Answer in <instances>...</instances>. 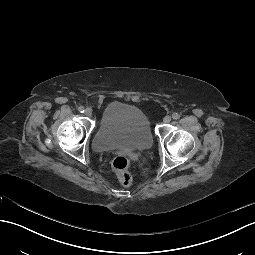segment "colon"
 <instances>
[{"instance_id":"obj_1","label":"colon","mask_w":255,"mask_h":255,"mask_svg":"<svg viewBox=\"0 0 255 255\" xmlns=\"http://www.w3.org/2000/svg\"><path fill=\"white\" fill-rule=\"evenodd\" d=\"M128 166L129 159L125 155L116 156L111 163L112 170L118 177L120 183L126 187L132 184V176L128 171Z\"/></svg>"}]
</instances>
